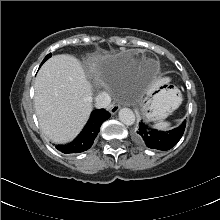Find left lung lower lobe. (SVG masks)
<instances>
[{
	"instance_id": "0a47b994",
	"label": "left lung lower lobe",
	"mask_w": 220,
	"mask_h": 220,
	"mask_svg": "<svg viewBox=\"0 0 220 220\" xmlns=\"http://www.w3.org/2000/svg\"><path fill=\"white\" fill-rule=\"evenodd\" d=\"M185 123L186 121L174 130L167 132L157 130L149 131L147 126L141 123L136 133V139L149 148L169 150L181 139L185 130Z\"/></svg>"
}]
</instances>
